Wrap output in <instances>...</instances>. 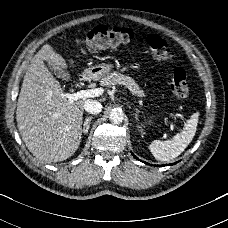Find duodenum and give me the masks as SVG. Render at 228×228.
I'll return each instance as SVG.
<instances>
[{"mask_svg":"<svg viewBox=\"0 0 228 228\" xmlns=\"http://www.w3.org/2000/svg\"><path fill=\"white\" fill-rule=\"evenodd\" d=\"M92 77V72L91 71H86L82 74L79 75V80L80 81H85L88 80Z\"/></svg>","mask_w":228,"mask_h":228,"instance_id":"obj_1","label":"duodenum"}]
</instances>
